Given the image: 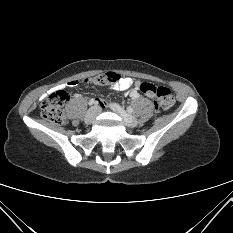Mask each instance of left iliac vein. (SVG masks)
<instances>
[{"mask_svg":"<svg viewBox=\"0 0 233 233\" xmlns=\"http://www.w3.org/2000/svg\"><path fill=\"white\" fill-rule=\"evenodd\" d=\"M110 106L117 114H119L121 116L124 123L128 127L134 128L137 126V124H138L137 119L134 116L128 114L121 106H119L116 103H112Z\"/></svg>","mask_w":233,"mask_h":233,"instance_id":"obj_1","label":"left iliac vein"}]
</instances>
